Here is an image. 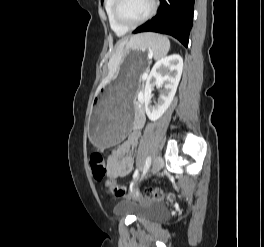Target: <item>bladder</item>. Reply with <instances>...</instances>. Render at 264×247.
<instances>
[{
	"instance_id": "obj_1",
	"label": "bladder",
	"mask_w": 264,
	"mask_h": 247,
	"mask_svg": "<svg viewBox=\"0 0 264 247\" xmlns=\"http://www.w3.org/2000/svg\"><path fill=\"white\" fill-rule=\"evenodd\" d=\"M116 211L121 214L132 213L142 220H157L164 216V210L154 203H136L131 200L119 202Z\"/></svg>"
}]
</instances>
